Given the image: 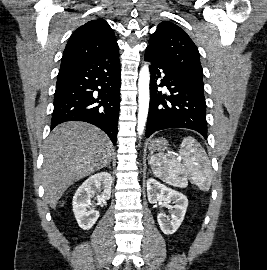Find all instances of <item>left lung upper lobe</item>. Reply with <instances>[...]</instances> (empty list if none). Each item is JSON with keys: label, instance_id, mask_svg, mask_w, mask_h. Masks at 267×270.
<instances>
[{"label": "left lung upper lobe", "instance_id": "1", "mask_svg": "<svg viewBox=\"0 0 267 270\" xmlns=\"http://www.w3.org/2000/svg\"><path fill=\"white\" fill-rule=\"evenodd\" d=\"M147 50L177 73L204 86L198 49L179 26L161 22L150 37Z\"/></svg>", "mask_w": 267, "mask_h": 270}]
</instances>
